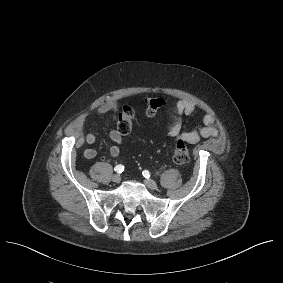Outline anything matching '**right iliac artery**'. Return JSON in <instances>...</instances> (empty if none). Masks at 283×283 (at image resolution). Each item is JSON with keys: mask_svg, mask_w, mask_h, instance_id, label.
Segmentation results:
<instances>
[{"mask_svg": "<svg viewBox=\"0 0 283 283\" xmlns=\"http://www.w3.org/2000/svg\"><path fill=\"white\" fill-rule=\"evenodd\" d=\"M114 170L117 172V173H122L124 171V166L123 165H117Z\"/></svg>", "mask_w": 283, "mask_h": 283, "instance_id": "1", "label": "right iliac artery"}]
</instances>
